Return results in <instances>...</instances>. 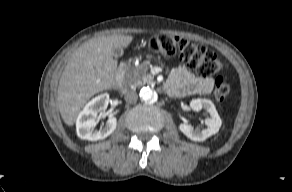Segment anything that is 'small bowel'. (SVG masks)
Returning <instances> with one entry per match:
<instances>
[{
    "mask_svg": "<svg viewBox=\"0 0 292 192\" xmlns=\"http://www.w3.org/2000/svg\"><path fill=\"white\" fill-rule=\"evenodd\" d=\"M213 86L212 78L198 77L185 66H178L171 72L166 84L167 92L182 97L192 94H207Z\"/></svg>",
    "mask_w": 292,
    "mask_h": 192,
    "instance_id": "c3829d8e",
    "label": "small bowel"
}]
</instances>
